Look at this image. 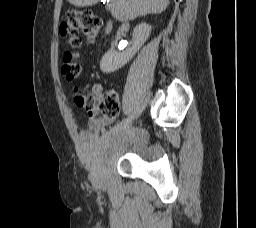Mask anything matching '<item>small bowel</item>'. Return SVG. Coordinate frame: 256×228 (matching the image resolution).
Here are the masks:
<instances>
[{
  "instance_id": "small-bowel-1",
  "label": "small bowel",
  "mask_w": 256,
  "mask_h": 228,
  "mask_svg": "<svg viewBox=\"0 0 256 228\" xmlns=\"http://www.w3.org/2000/svg\"><path fill=\"white\" fill-rule=\"evenodd\" d=\"M91 91L94 96H100L102 93V86L100 84H94L91 88ZM113 118H92L89 121V129L92 131H101L103 130L107 125L111 124L113 122ZM87 132L83 133V136H86Z\"/></svg>"
}]
</instances>
